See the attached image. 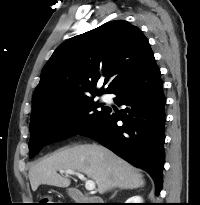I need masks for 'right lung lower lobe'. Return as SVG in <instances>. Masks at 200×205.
I'll return each instance as SVG.
<instances>
[{"label":"right lung lower lobe","mask_w":200,"mask_h":205,"mask_svg":"<svg viewBox=\"0 0 200 205\" xmlns=\"http://www.w3.org/2000/svg\"><path fill=\"white\" fill-rule=\"evenodd\" d=\"M160 76L154 59L147 68L113 92L117 95L115 103L125 105V109L113 112L108 108L94 126L80 132L145 170L155 182L156 195L163 183L165 158V97Z\"/></svg>","instance_id":"obj_1"}]
</instances>
